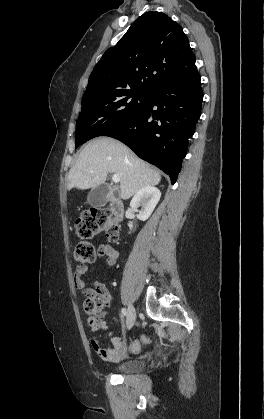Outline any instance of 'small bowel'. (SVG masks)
<instances>
[{
    "instance_id": "1",
    "label": "small bowel",
    "mask_w": 264,
    "mask_h": 419,
    "mask_svg": "<svg viewBox=\"0 0 264 419\" xmlns=\"http://www.w3.org/2000/svg\"><path fill=\"white\" fill-rule=\"evenodd\" d=\"M98 256L105 259L107 264L112 268L115 266L118 252L109 244H100L97 249ZM88 273V267L86 265H80L77 267L74 273V286L81 290L86 296H93L100 302V310L97 318V325L92 328L93 331L108 330L106 321L105 308L111 301V294L108 288L100 282H96L94 288L86 287L84 276ZM111 335V346L105 348L97 339H91L90 345L95 353L103 360L108 362H118L123 360L128 352V346L125 336H116L112 332ZM131 351H135L130 348Z\"/></svg>"
}]
</instances>
